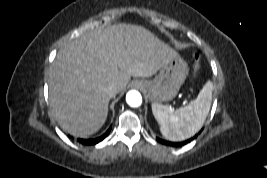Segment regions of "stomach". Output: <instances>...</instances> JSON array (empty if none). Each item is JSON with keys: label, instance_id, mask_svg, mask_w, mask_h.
<instances>
[{"label": "stomach", "instance_id": "stomach-1", "mask_svg": "<svg viewBox=\"0 0 267 178\" xmlns=\"http://www.w3.org/2000/svg\"><path fill=\"white\" fill-rule=\"evenodd\" d=\"M188 64L178 54L160 69L152 80H139L143 90L153 103L172 100L188 75Z\"/></svg>", "mask_w": 267, "mask_h": 178}]
</instances>
